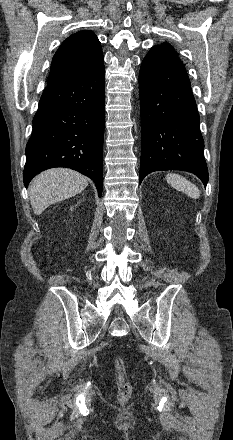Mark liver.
<instances>
[{
  "label": "liver",
  "mask_w": 233,
  "mask_h": 440,
  "mask_svg": "<svg viewBox=\"0 0 233 440\" xmlns=\"http://www.w3.org/2000/svg\"><path fill=\"white\" fill-rule=\"evenodd\" d=\"M87 185V177L71 169L53 168L40 173L29 186L34 213L40 215L50 205L81 193Z\"/></svg>",
  "instance_id": "obj_1"
}]
</instances>
